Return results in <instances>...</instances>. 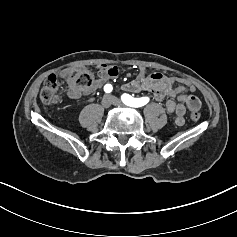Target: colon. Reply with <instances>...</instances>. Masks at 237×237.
Segmentation results:
<instances>
[{"label": "colon", "mask_w": 237, "mask_h": 237, "mask_svg": "<svg viewBox=\"0 0 237 237\" xmlns=\"http://www.w3.org/2000/svg\"><path fill=\"white\" fill-rule=\"evenodd\" d=\"M94 82L93 75L88 71L72 69L70 73L69 86L75 90H84L89 88ZM59 80L57 76L51 74L44 82L43 88L40 92V100L44 104H55L59 101ZM193 121L200 119V113L195 110L191 113Z\"/></svg>", "instance_id": "1"}]
</instances>
